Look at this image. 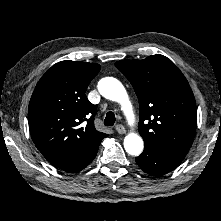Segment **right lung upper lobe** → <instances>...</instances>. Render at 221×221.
<instances>
[{
  "mask_svg": "<svg viewBox=\"0 0 221 221\" xmlns=\"http://www.w3.org/2000/svg\"><path fill=\"white\" fill-rule=\"evenodd\" d=\"M100 69L96 63L61 61L35 87L28 108L30 133L54 166L78 159L108 136L95 129L97 110L85 94Z\"/></svg>",
  "mask_w": 221,
  "mask_h": 221,
  "instance_id": "cb5924a9",
  "label": "right lung upper lobe"
}]
</instances>
